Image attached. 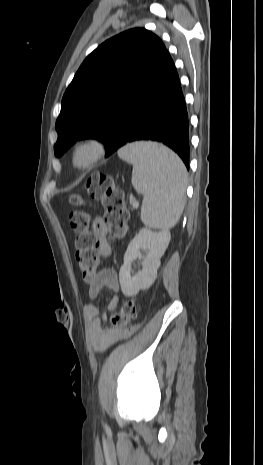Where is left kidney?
<instances>
[{
  "label": "left kidney",
  "instance_id": "1",
  "mask_svg": "<svg viewBox=\"0 0 263 465\" xmlns=\"http://www.w3.org/2000/svg\"><path fill=\"white\" fill-rule=\"evenodd\" d=\"M170 242V232H153L142 228L131 240L124 254V264L120 268L119 281L125 296H134L140 290L148 289L157 277L160 259ZM141 250L146 252L142 255ZM140 260L142 269L131 276L132 262Z\"/></svg>",
  "mask_w": 263,
  "mask_h": 465
}]
</instances>
